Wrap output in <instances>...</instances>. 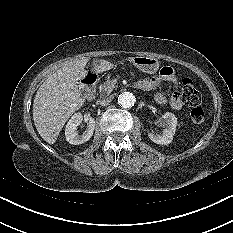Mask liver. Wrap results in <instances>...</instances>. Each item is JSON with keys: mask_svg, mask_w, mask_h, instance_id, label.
Listing matches in <instances>:
<instances>
[{"mask_svg": "<svg viewBox=\"0 0 233 233\" xmlns=\"http://www.w3.org/2000/svg\"><path fill=\"white\" fill-rule=\"evenodd\" d=\"M87 62V58H81L65 63L43 82L35 95L34 124L40 136L49 144L56 142L67 120L85 102L81 98L77 81L87 76L84 69ZM113 67L114 64L99 60L94 69L97 73H102Z\"/></svg>", "mask_w": 233, "mask_h": 233, "instance_id": "1", "label": "liver"}]
</instances>
